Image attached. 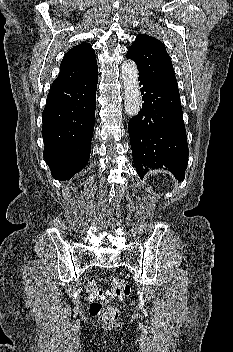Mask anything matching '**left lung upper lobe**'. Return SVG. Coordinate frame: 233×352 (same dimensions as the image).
<instances>
[{
  "instance_id": "left-lung-upper-lobe-1",
  "label": "left lung upper lobe",
  "mask_w": 233,
  "mask_h": 352,
  "mask_svg": "<svg viewBox=\"0 0 233 352\" xmlns=\"http://www.w3.org/2000/svg\"><path fill=\"white\" fill-rule=\"evenodd\" d=\"M127 58L136 63L139 74L179 93L170 56L161 41L139 34L128 49Z\"/></svg>"
}]
</instances>
